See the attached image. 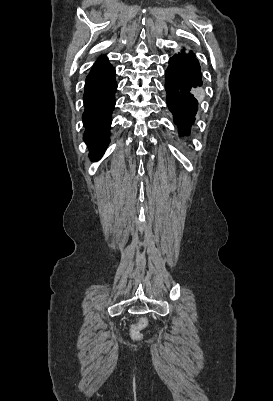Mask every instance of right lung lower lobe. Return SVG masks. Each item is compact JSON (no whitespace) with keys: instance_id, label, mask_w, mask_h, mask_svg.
Here are the masks:
<instances>
[{"instance_id":"obj_1","label":"right lung lower lobe","mask_w":273,"mask_h":401,"mask_svg":"<svg viewBox=\"0 0 273 401\" xmlns=\"http://www.w3.org/2000/svg\"><path fill=\"white\" fill-rule=\"evenodd\" d=\"M115 70L107 62L94 65L86 77L82 115L84 140L92 160H99L110 142L111 114L115 106Z\"/></svg>"}]
</instances>
